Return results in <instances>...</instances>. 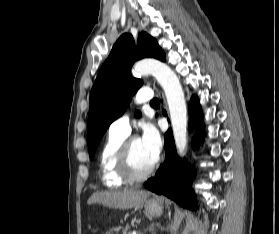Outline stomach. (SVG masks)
I'll return each mask as SVG.
<instances>
[{
	"mask_svg": "<svg viewBox=\"0 0 279 234\" xmlns=\"http://www.w3.org/2000/svg\"><path fill=\"white\" fill-rule=\"evenodd\" d=\"M144 207H145V213L151 217H158L163 212L162 204L159 201H155L152 199L147 200L145 202Z\"/></svg>",
	"mask_w": 279,
	"mask_h": 234,
	"instance_id": "obj_1",
	"label": "stomach"
}]
</instances>
